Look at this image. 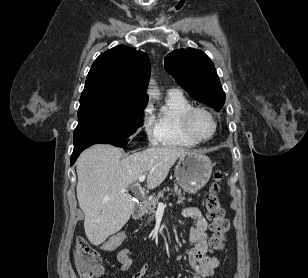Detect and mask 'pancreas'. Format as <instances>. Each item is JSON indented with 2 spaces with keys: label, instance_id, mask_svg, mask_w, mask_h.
Returning <instances> with one entry per match:
<instances>
[{
  "label": "pancreas",
  "instance_id": "cf45deb5",
  "mask_svg": "<svg viewBox=\"0 0 308 278\" xmlns=\"http://www.w3.org/2000/svg\"><path fill=\"white\" fill-rule=\"evenodd\" d=\"M166 191H170V189L169 188H164L163 189V191H160L159 193H158V196H157V198H153L152 200H148V201H145L144 202V207L147 209V212L148 213H152V214H154L155 213V208H156V206L158 205V200H159V198H161V197H163V195H164V192H166ZM173 192L175 193V195L178 197V201H177V203L178 204H180V203H182V201L184 200V198L182 197V192H181V190L178 188V186L177 185H174V190H173Z\"/></svg>",
  "mask_w": 308,
  "mask_h": 278
}]
</instances>
